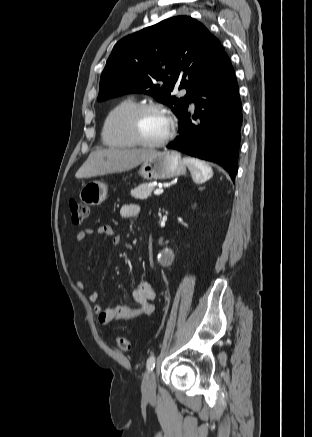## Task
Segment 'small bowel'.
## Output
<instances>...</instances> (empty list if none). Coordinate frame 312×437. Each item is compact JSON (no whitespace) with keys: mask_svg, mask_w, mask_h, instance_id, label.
<instances>
[{"mask_svg":"<svg viewBox=\"0 0 312 437\" xmlns=\"http://www.w3.org/2000/svg\"><path fill=\"white\" fill-rule=\"evenodd\" d=\"M120 212L121 216L127 219H135L140 215L138 206L132 203L124 204ZM97 233L110 237L114 246H119L122 242L121 235L110 226H100L97 229ZM91 234H93V230L89 228L81 231L77 235V242L82 243ZM77 286L83 289L84 284L82 281H77ZM154 297V290L147 281L137 283L133 291L134 306L117 305L114 307H104L98 303L99 294L96 291H91L88 294L89 301L94 304V314L98 322L103 326L110 325L116 321H130L151 316L154 313V305L152 303Z\"/></svg>","mask_w":312,"mask_h":437,"instance_id":"c3829d8e","label":"small bowel"}]
</instances>
